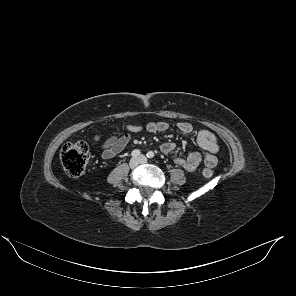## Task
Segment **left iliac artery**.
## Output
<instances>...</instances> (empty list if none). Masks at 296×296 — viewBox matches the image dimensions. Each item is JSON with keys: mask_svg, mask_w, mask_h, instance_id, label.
<instances>
[{"mask_svg": "<svg viewBox=\"0 0 296 296\" xmlns=\"http://www.w3.org/2000/svg\"><path fill=\"white\" fill-rule=\"evenodd\" d=\"M146 155L150 159L154 157V153L152 151H149Z\"/></svg>", "mask_w": 296, "mask_h": 296, "instance_id": "1", "label": "left iliac artery"}]
</instances>
